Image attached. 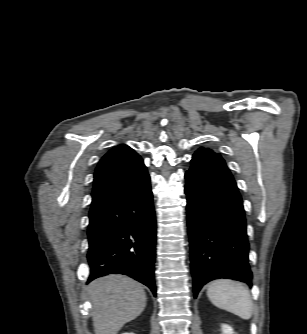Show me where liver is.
<instances>
[{
  "label": "liver",
  "mask_w": 307,
  "mask_h": 334,
  "mask_svg": "<svg viewBox=\"0 0 307 334\" xmlns=\"http://www.w3.org/2000/svg\"><path fill=\"white\" fill-rule=\"evenodd\" d=\"M95 334H117L146 306L143 286L126 276L108 275L88 285Z\"/></svg>",
  "instance_id": "obj_1"
}]
</instances>
